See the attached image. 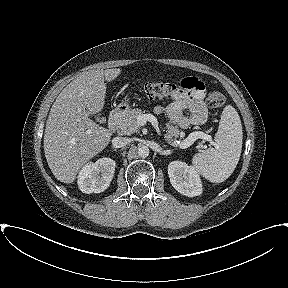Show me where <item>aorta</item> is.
<instances>
[{
	"instance_id": "1",
	"label": "aorta",
	"mask_w": 288,
	"mask_h": 288,
	"mask_svg": "<svg viewBox=\"0 0 288 288\" xmlns=\"http://www.w3.org/2000/svg\"><path fill=\"white\" fill-rule=\"evenodd\" d=\"M138 156L141 157V158H146L150 151H149V148L147 146H140L138 148Z\"/></svg>"
}]
</instances>
